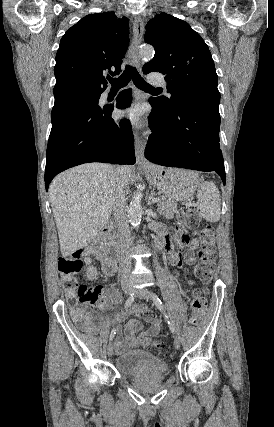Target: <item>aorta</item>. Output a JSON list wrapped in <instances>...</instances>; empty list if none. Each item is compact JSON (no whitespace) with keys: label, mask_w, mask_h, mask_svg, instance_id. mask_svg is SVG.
I'll return each instance as SVG.
<instances>
[{"label":"aorta","mask_w":274,"mask_h":427,"mask_svg":"<svg viewBox=\"0 0 274 427\" xmlns=\"http://www.w3.org/2000/svg\"><path fill=\"white\" fill-rule=\"evenodd\" d=\"M139 55L142 58L151 59L154 56V49L151 46H143L140 48ZM142 193L137 190L128 207V221L133 227L139 226L141 222L142 206H141Z\"/></svg>","instance_id":"aorta-1"}]
</instances>
